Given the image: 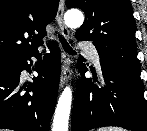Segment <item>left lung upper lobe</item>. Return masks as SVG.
<instances>
[{"instance_id":"obj_1","label":"left lung upper lobe","mask_w":147,"mask_h":131,"mask_svg":"<svg viewBox=\"0 0 147 131\" xmlns=\"http://www.w3.org/2000/svg\"><path fill=\"white\" fill-rule=\"evenodd\" d=\"M66 6L80 8L86 15L76 31L77 40L92 41L100 60L140 75L136 23L129 0H66Z\"/></svg>"}]
</instances>
